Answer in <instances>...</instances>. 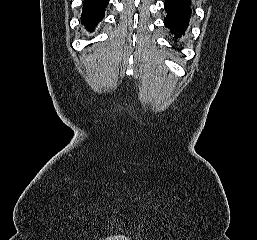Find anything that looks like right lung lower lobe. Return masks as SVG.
<instances>
[{
	"label": "right lung lower lobe",
	"instance_id": "1",
	"mask_svg": "<svg viewBox=\"0 0 257 240\" xmlns=\"http://www.w3.org/2000/svg\"><path fill=\"white\" fill-rule=\"evenodd\" d=\"M108 3L109 0H83L81 23L87 30L93 31L94 27L101 22Z\"/></svg>",
	"mask_w": 257,
	"mask_h": 240
}]
</instances>
